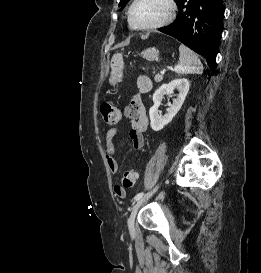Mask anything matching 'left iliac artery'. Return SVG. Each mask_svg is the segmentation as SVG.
Instances as JSON below:
<instances>
[{
    "label": "left iliac artery",
    "mask_w": 261,
    "mask_h": 273,
    "mask_svg": "<svg viewBox=\"0 0 261 273\" xmlns=\"http://www.w3.org/2000/svg\"><path fill=\"white\" fill-rule=\"evenodd\" d=\"M157 189H158V186H156V187L154 188L155 191H157ZM143 195H144L143 192L138 193V194L134 197V200H135V201H138L140 198H142Z\"/></svg>",
    "instance_id": "1"
}]
</instances>
